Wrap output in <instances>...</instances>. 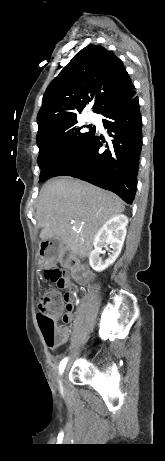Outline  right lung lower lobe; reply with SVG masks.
Returning <instances> with one entry per match:
<instances>
[{"mask_svg":"<svg viewBox=\"0 0 165 461\" xmlns=\"http://www.w3.org/2000/svg\"><path fill=\"white\" fill-rule=\"evenodd\" d=\"M111 141L102 150L104 139L95 131L85 145L56 176H72L110 190L131 204L136 194L142 147V120L138 97L134 96L102 114Z\"/></svg>","mask_w":165,"mask_h":461,"instance_id":"obj_1","label":"right lung lower lobe"}]
</instances>
